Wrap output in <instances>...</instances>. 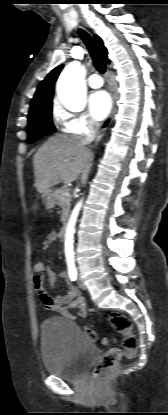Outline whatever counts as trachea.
I'll list each match as a JSON object with an SVG mask.
<instances>
[{
    "instance_id": "3493384b",
    "label": "trachea",
    "mask_w": 168,
    "mask_h": 415,
    "mask_svg": "<svg viewBox=\"0 0 168 415\" xmlns=\"http://www.w3.org/2000/svg\"><path fill=\"white\" fill-rule=\"evenodd\" d=\"M78 34L81 37V39L83 40V42L85 43V45L87 46V49L93 59L94 65L96 67V69L100 72V73H105L106 71V64L105 61L102 57V55L100 54L97 46L95 45L93 39L91 38V36L84 31L83 29H78Z\"/></svg>"
}]
</instances>
